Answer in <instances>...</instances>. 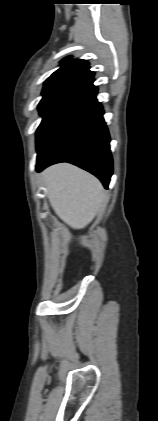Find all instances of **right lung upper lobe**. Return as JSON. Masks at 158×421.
Wrapping results in <instances>:
<instances>
[{"instance_id": "cb5924a9", "label": "right lung upper lobe", "mask_w": 158, "mask_h": 421, "mask_svg": "<svg viewBox=\"0 0 158 421\" xmlns=\"http://www.w3.org/2000/svg\"><path fill=\"white\" fill-rule=\"evenodd\" d=\"M61 67L56 70L44 83V89L60 85H76L80 88L91 81L94 72L89 70L86 60L66 57L61 61Z\"/></svg>"}]
</instances>
